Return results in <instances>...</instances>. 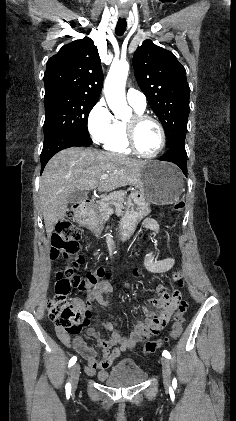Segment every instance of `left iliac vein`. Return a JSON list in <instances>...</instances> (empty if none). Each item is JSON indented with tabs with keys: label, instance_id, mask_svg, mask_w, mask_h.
<instances>
[{
	"label": "left iliac vein",
	"instance_id": "4c4485c4",
	"mask_svg": "<svg viewBox=\"0 0 236 421\" xmlns=\"http://www.w3.org/2000/svg\"><path fill=\"white\" fill-rule=\"evenodd\" d=\"M162 362V376L163 380L165 381V386H169L171 381V365L167 358L161 357Z\"/></svg>",
	"mask_w": 236,
	"mask_h": 421
}]
</instances>
